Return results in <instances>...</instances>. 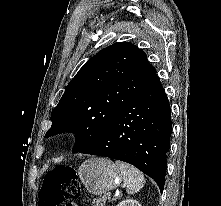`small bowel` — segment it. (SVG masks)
<instances>
[{"instance_id":"c3829d8e","label":"small bowel","mask_w":221,"mask_h":206,"mask_svg":"<svg viewBox=\"0 0 221 206\" xmlns=\"http://www.w3.org/2000/svg\"><path fill=\"white\" fill-rule=\"evenodd\" d=\"M65 206H78V205L75 204V203H68V204H66Z\"/></svg>"}]
</instances>
